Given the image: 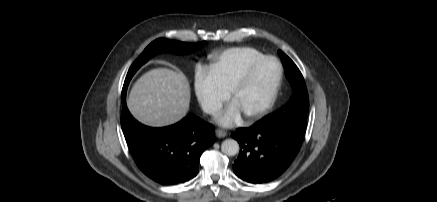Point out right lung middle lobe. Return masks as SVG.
<instances>
[{"mask_svg": "<svg viewBox=\"0 0 437 202\" xmlns=\"http://www.w3.org/2000/svg\"><path fill=\"white\" fill-rule=\"evenodd\" d=\"M204 44L205 42L184 43V42L168 40L165 38H159L153 41L150 45L146 47L143 53L131 65L123 85L121 99L126 98V90L132 76L144 63H146L155 54L166 52V51L176 54H188L199 50Z\"/></svg>", "mask_w": 437, "mask_h": 202, "instance_id": "dd1d6c3e", "label": "right lung middle lobe"}]
</instances>
